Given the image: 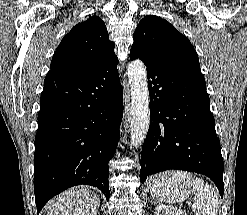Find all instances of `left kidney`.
<instances>
[{
	"mask_svg": "<svg viewBox=\"0 0 247 215\" xmlns=\"http://www.w3.org/2000/svg\"><path fill=\"white\" fill-rule=\"evenodd\" d=\"M154 215H187L183 210H180L174 206H166L160 204L155 208Z\"/></svg>",
	"mask_w": 247,
	"mask_h": 215,
	"instance_id": "1",
	"label": "left kidney"
}]
</instances>
